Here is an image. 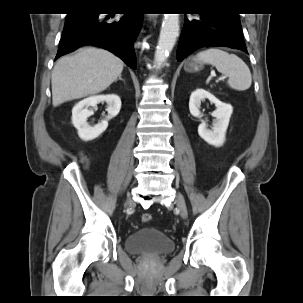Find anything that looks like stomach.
Segmentation results:
<instances>
[{
	"instance_id": "obj_1",
	"label": "stomach",
	"mask_w": 303,
	"mask_h": 303,
	"mask_svg": "<svg viewBox=\"0 0 303 303\" xmlns=\"http://www.w3.org/2000/svg\"><path fill=\"white\" fill-rule=\"evenodd\" d=\"M203 67L202 62L195 60V58H189L184 65L186 72H195Z\"/></svg>"
}]
</instances>
